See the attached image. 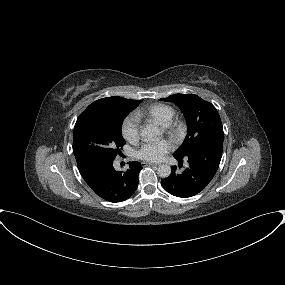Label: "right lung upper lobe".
Masks as SVG:
<instances>
[{
	"instance_id": "right-lung-upper-lobe-1",
	"label": "right lung upper lobe",
	"mask_w": 285,
	"mask_h": 285,
	"mask_svg": "<svg viewBox=\"0 0 285 285\" xmlns=\"http://www.w3.org/2000/svg\"><path fill=\"white\" fill-rule=\"evenodd\" d=\"M126 98H122V97H117V96H113V97H109V98H102V99H99L95 102H93L92 104H90L85 110V111H88L90 109H94V108H99V107H103L105 105H109V104H112V103H115V102H118V101H122Z\"/></svg>"
}]
</instances>
